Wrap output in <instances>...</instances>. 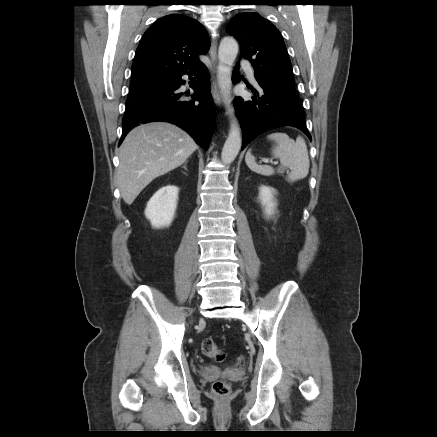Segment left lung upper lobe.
Segmentation results:
<instances>
[{
    "instance_id": "obj_1",
    "label": "left lung upper lobe",
    "mask_w": 437,
    "mask_h": 437,
    "mask_svg": "<svg viewBox=\"0 0 437 437\" xmlns=\"http://www.w3.org/2000/svg\"><path fill=\"white\" fill-rule=\"evenodd\" d=\"M226 31L241 45V56L249 59L258 82L296 96L292 66L279 30L255 12L236 15Z\"/></svg>"
}]
</instances>
